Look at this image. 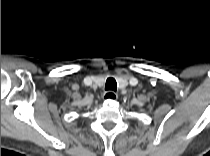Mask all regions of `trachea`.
Segmentation results:
<instances>
[{
	"label": "trachea",
	"instance_id": "3493384b",
	"mask_svg": "<svg viewBox=\"0 0 210 156\" xmlns=\"http://www.w3.org/2000/svg\"><path fill=\"white\" fill-rule=\"evenodd\" d=\"M105 90L115 92L117 90V83L116 80L112 77H109L106 80Z\"/></svg>",
	"mask_w": 210,
	"mask_h": 156
}]
</instances>
